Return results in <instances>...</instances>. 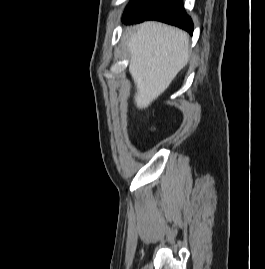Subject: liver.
Returning a JSON list of instances; mask_svg holds the SVG:
<instances>
[{
    "label": "liver",
    "instance_id": "6515ba94",
    "mask_svg": "<svg viewBox=\"0 0 265 269\" xmlns=\"http://www.w3.org/2000/svg\"><path fill=\"white\" fill-rule=\"evenodd\" d=\"M129 72L136 85L135 104L146 109L189 60L186 32L160 22L141 24L128 38Z\"/></svg>",
    "mask_w": 265,
    "mask_h": 269
}]
</instances>
